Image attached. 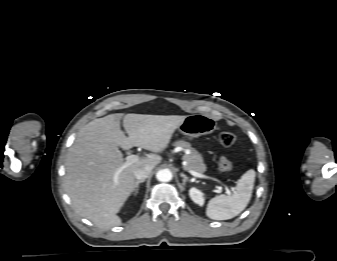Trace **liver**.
<instances>
[{"label": "liver", "instance_id": "obj_1", "mask_svg": "<svg viewBox=\"0 0 337 261\" xmlns=\"http://www.w3.org/2000/svg\"><path fill=\"white\" fill-rule=\"evenodd\" d=\"M128 137L120 129V119ZM186 116L115 113L94 119L77 133L65 161L64 187L74 210L99 228L119 226L117 215L135 185L134 172L162 161L156 154L140 159L125 168L115 180L116 171L124 164L118 147L128 150L141 147L162 152L174 131Z\"/></svg>", "mask_w": 337, "mask_h": 261}]
</instances>
